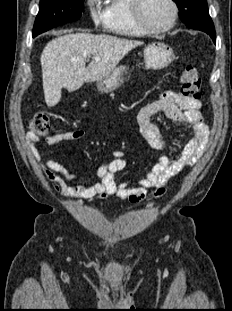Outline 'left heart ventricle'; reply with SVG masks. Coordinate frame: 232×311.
I'll return each mask as SVG.
<instances>
[{"label": "left heart ventricle", "instance_id": "obj_1", "mask_svg": "<svg viewBox=\"0 0 232 311\" xmlns=\"http://www.w3.org/2000/svg\"><path fill=\"white\" fill-rule=\"evenodd\" d=\"M142 12L145 21L154 28L167 25L172 18V7L168 0H144Z\"/></svg>", "mask_w": 232, "mask_h": 311}]
</instances>
